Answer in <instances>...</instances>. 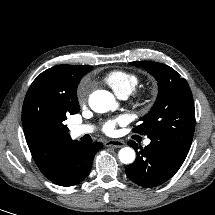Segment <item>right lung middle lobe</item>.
I'll return each mask as SVG.
<instances>
[{
    "label": "right lung middle lobe",
    "instance_id": "1",
    "mask_svg": "<svg viewBox=\"0 0 215 215\" xmlns=\"http://www.w3.org/2000/svg\"><path fill=\"white\" fill-rule=\"evenodd\" d=\"M41 74L26 94L23 111L33 124L45 131H67L64 121L79 111L76 90L81 77L70 73L68 65H57Z\"/></svg>",
    "mask_w": 215,
    "mask_h": 215
}]
</instances>
